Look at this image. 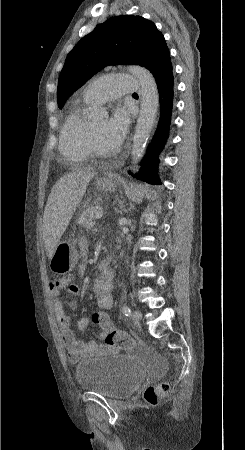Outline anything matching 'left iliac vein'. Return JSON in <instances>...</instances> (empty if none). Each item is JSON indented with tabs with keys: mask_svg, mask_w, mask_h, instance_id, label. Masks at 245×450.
Returning a JSON list of instances; mask_svg holds the SVG:
<instances>
[{
	"mask_svg": "<svg viewBox=\"0 0 245 450\" xmlns=\"http://www.w3.org/2000/svg\"><path fill=\"white\" fill-rule=\"evenodd\" d=\"M132 318L135 322H139L142 319V313L139 310H134L132 313Z\"/></svg>",
	"mask_w": 245,
	"mask_h": 450,
	"instance_id": "left-iliac-vein-1",
	"label": "left iliac vein"
}]
</instances>
